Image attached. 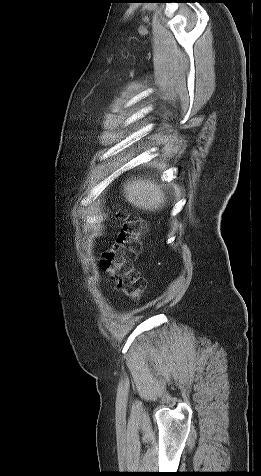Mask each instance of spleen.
<instances>
[{
    "instance_id": "spleen-1",
    "label": "spleen",
    "mask_w": 261,
    "mask_h": 476,
    "mask_svg": "<svg viewBox=\"0 0 261 476\" xmlns=\"http://www.w3.org/2000/svg\"><path fill=\"white\" fill-rule=\"evenodd\" d=\"M123 193L132 206L150 212L159 211L167 202L164 188L151 178L128 179L123 185Z\"/></svg>"
}]
</instances>
